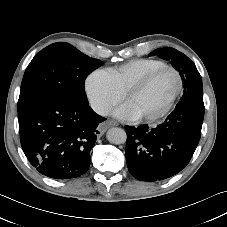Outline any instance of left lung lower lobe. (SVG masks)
Returning a JSON list of instances; mask_svg holds the SVG:
<instances>
[{"label":"left lung lower lobe","mask_w":227,"mask_h":227,"mask_svg":"<svg viewBox=\"0 0 227 227\" xmlns=\"http://www.w3.org/2000/svg\"><path fill=\"white\" fill-rule=\"evenodd\" d=\"M204 107L176 108L167 120L150 129L126 126V161L133 177L157 181L180 172L189 163L201 136Z\"/></svg>","instance_id":"left-lung-lower-lobe-1"}]
</instances>
